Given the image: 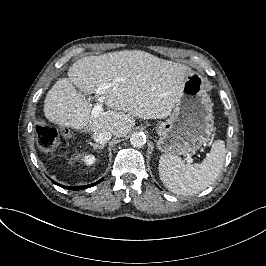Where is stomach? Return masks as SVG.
<instances>
[{
  "label": "stomach",
  "instance_id": "0dacf381",
  "mask_svg": "<svg viewBox=\"0 0 266 266\" xmlns=\"http://www.w3.org/2000/svg\"><path fill=\"white\" fill-rule=\"evenodd\" d=\"M213 103L203 88L200 75L193 73L185 82L165 122L155 127L157 149L171 156L191 154L199 150L214 131Z\"/></svg>",
  "mask_w": 266,
  "mask_h": 266
}]
</instances>
